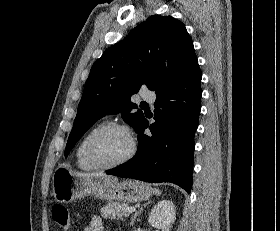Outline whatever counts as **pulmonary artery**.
I'll use <instances>...</instances> for the list:
<instances>
[{"label": "pulmonary artery", "instance_id": "e3ab8cb5", "mask_svg": "<svg viewBox=\"0 0 280 231\" xmlns=\"http://www.w3.org/2000/svg\"><path fill=\"white\" fill-rule=\"evenodd\" d=\"M140 95L144 100L149 102H153L156 99L155 92L153 91L144 90L140 92Z\"/></svg>", "mask_w": 280, "mask_h": 231}]
</instances>
